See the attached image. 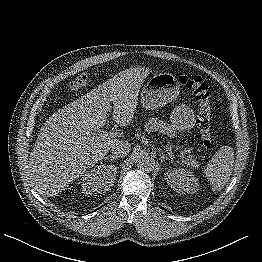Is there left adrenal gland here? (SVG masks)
Instances as JSON below:
<instances>
[{"label":"left adrenal gland","instance_id":"1","mask_svg":"<svg viewBox=\"0 0 262 262\" xmlns=\"http://www.w3.org/2000/svg\"><path fill=\"white\" fill-rule=\"evenodd\" d=\"M159 153H160V156H161V161H164V160H171V161H173V158L167 157L161 150L159 151Z\"/></svg>","mask_w":262,"mask_h":262}]
</instances>
